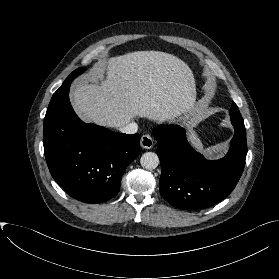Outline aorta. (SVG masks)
<instances>
[{
  "mask_svg": "<svg viewBox=\"0 0 279 279\" xmlns=\"http://www.w3.org/2000/svg\"><path fill=\"white\" fill-rule=\"evenodd\" d=\"M141 166L147 170H153L159 165V158L154 152H146L140 158Z\"/></svg>",
  "mask_w": 279,
  "mask_h": 279,
  "instance_id": "aorta-1",
  "label": "aorta"
}]
</instances>
